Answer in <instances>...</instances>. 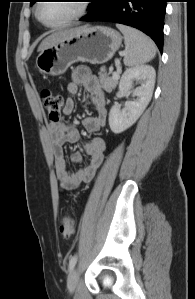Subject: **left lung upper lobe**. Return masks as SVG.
<instances>
[{
    "instance_id": "obj_1",
    "label": "left lung upper lobe",
    "mask_w": 195,
    "mask_h": 299,
    "mask_svg": "<svg viewBox=\"0 0 195 299\" xmlns=\"http://www.w3.org/2000/svg\"><path fill=\"white\" fill-rule=\"evenodd\" d=\"M35 2L36 0H30V6H32Z\"/></svg>"
}]
</instances>
